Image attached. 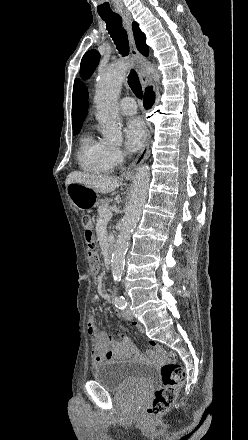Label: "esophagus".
<instances>
[{
  "label": "esophagus",
  "instance_id": "34e87169",
  "mask_svg": "<svg viewBox=\"0 0 248 440\" xmlns=\"http://www.w3.org/2000/svg\"><path fill=\"white\" fill-rule=\"evenodd\" d=\"M120 15L123 19L124 27L128 34L130 53L135 61L136 71L138 73L141 83L144 86H146L150 82V80L144 69L145 58L143 57V55L139 53L135 44L134 35L132 31V22H133L132 16L127 9L121 10ZM150 139H151V134L150 131H148L146 141L141 151L124 172L125 179H130L136 173V171L139 169L142 163L145 161L149 153Z\"/></svg>",
  "mask_w": 248,
  "mask_h": 440
}]
</instances>
